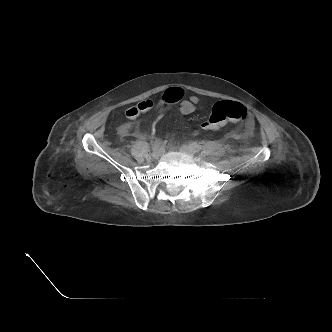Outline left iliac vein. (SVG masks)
Masks as SVG:
<instances>
[{"instance_id": "obj_1", "label": "left iliac vein", "mask_w": 332, "mask_h": 332, "mask_svg": "<svg viewBox=\"0 0 332 332\" xmlns=\"http://www.w3.org/2000/svg\"><path fill=\"white\" fill-rule=\"evenodd\" d=\"M180 149H181L182 152H184L188 155H191V156L194 155V153H195L193 151V149L191 148V146L188 145V144H183Z\"/></svg>"}]
</instances>
